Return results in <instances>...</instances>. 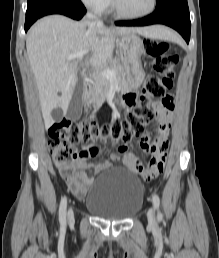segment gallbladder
<instances>
[{"mask_svg": "<svg viewBox=\"0 0 219 258\" xmlns=\"http://www.w3.org/2000/svg\"><path fill=\"white\" fill-rule=\"evenodd\" d=\"M83 94V83L82 81H78L74 88L73 95L67 109L66 116L69 120L75 121L81 117L83 106Z\"/></svg>", "mask_w": 219, "mask_h": 258, "instance_id": "gallbladder-1", "label": "gallbladder"}]
</instances>
